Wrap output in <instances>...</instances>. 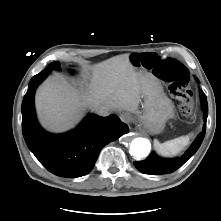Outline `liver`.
<instances>
[{
    "label": "liver",
    "mask_w": 221,
    "mask_h": 221,
    "mask_svg": "<svg viewBox=\"0 0 221 221\" xmlns=\"http://www.w3.org/2000/svg\"><path fill=\"white\" fill-rule=\"evenodd\" d=\"M88 91L69 86L63 79L52 77L45 81L35 96L41 124L53 132L72 128L82 117L85 108L93 111H137L150 75L136 71L129 54L119 55L93 66Z\"/></svg>",
    "instance_id": "obj_1"
}]
</instances>
